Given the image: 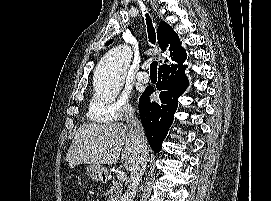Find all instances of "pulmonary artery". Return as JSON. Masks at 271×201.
<instances>
[{"label": "pulmonary artery", "mask_w": 271, "mask_h": 201, "mask_svg": "<svg viewBox=\"0 0 271 201\" xmlns=\"http://www.w3.org/2000/svg\"><path fill=\"white\" fill-rule=\"evenodd\" d=\"M147 67H148V65L145 63L143 66H142V71H140L138 74H137V76H136V78H137V80L139 81V82H141V83H147V82H149V80H150V76H149V74L145 71L146 69H147Z\"/></svg>", "instance_id": "1"}]
</instances>
